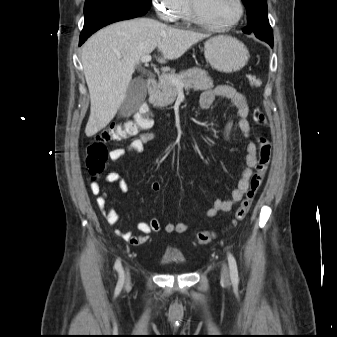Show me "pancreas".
<instances>
[{
    "instance_id": "1",
    "label": "pancreas",
    "mask_w": 337,
    "mask_h": 337,
    "mask_svg": "<svg viewBox=\"0 0 337 337\" xmlns=\"http://www.w3.org/2000/svg\"><path fill=\"white\" fill-rule=\"evenodd\" d=\"M183 84L185 90H206L213 87V81L205 70L192 68L179 74L168 75ZM178 94V88L165 75L159 78L156 89L150 94V103L157 107H165L173 103Z\"/></svg>"
}]
</instances>
